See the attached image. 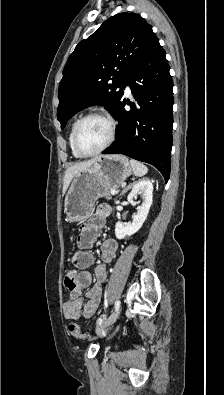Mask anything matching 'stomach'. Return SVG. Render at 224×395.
Wrapping results in <instances>:
<instances>
[{
  "instance_id": "stomach-1",
  "label": "stomach",
  "mask_w": 224,
  "mask_h": 395,
  "mask_svg": "<svg viewBox=\"0 0 224 395\" xmlns=\"http://www.w3.org/2000/svg\"><path fill=\"white\" fill-rule=\"evenodd\" d=\"M132 174V167L123 155L102 156L72 179L65 196L64 212L72 222L86 219L95 201L111 189H117Z\"/></svg>"
}]
</instances>
